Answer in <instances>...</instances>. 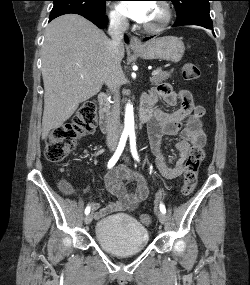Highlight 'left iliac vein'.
<instances>
[{"label": "left iliac vein", "mask_w": 250, "mask_h": 285, "mask_svg": "<svg viewBox=\"0 0 250 285\" xmlns=\"http://www.w3.org/2000/svg\"><path fill=\"white\" fill-rule=\"evenodd\" d=\"M126 160H127V159H126ZM157 215H158L159 221H160L162 224H165L166 221H167V217H166L165 213H163V212H161V211H158Z\"/></svg>", "instance_id": "left-iliac-vein-1"}]
</instances>
